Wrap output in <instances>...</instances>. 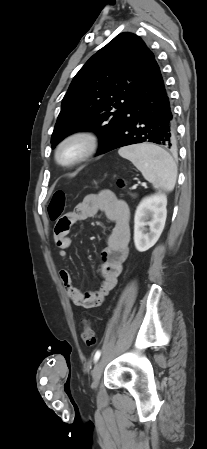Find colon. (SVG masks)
I'll list each match as a JSON object with an SVG mask.
<instances>
[{
  "mask_svg": "<svg viewBox=\"0 0 207 449\" xmlns=\"http://www.w3.org/2000/svg\"><path fill=\"white\" fill-rule=\"evenodd\" d=\"M118 186H126V182L123 179L118 180ZM66 206V194L58 190L54 192L52 199L48 205V216L53 222H58L63 216ZM55 231L58 232L59 228L55 225ZM82 339L85 344L91 346L96 343V337L93 328L88 321L84 322L82 330Z\"/></svg>",
  "mask_w": 207,
  "mask_h": 449,
  "instance_id": "5ec220e1",
  "label": "colon"
}]
</instances>
